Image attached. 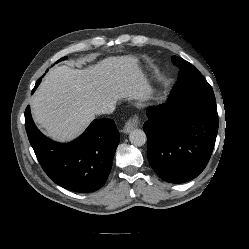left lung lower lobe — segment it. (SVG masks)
<instances>
[{"label": "left lung lower lobe", "instance_id": "1", "mask_svg": "<svg viewBox=\"0 0 249 249\" xmlns=\"http://www.w3.org/2000/svg\"><path fill=\"white\" fill-rule=\"evenodd\" d=\"M143 125L151 167L169 183H184L206 167L218 131L215 99H178L171 92L168 102L146 110Z\"/></svg>", "mask_w": 249, "mask_h": 249}]
</instances>
